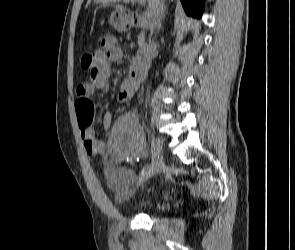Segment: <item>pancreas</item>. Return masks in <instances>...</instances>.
<instances>
[{
  "label": "pancreas",
  "instance_id": "cf45deb5",
  "mask_svg": "<svg viewBox=\"0 0 295 250\" xmlns=\"http://www.w3.org/2000/svg\"><path fill=\"white\" fill-rule=\"evenodd\" d=\"M138 46H139V52L142 53L146 49V42H145V36L144 33L141 32L138 35Z\"/></svg>",
  "mask_w": 295,
  "mask_h": 250
}]
</instances>
